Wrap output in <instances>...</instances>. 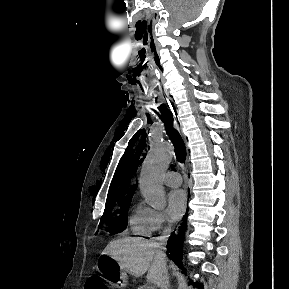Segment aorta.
Masks as SVG:
<instances>
[{"mask_svg": "<svg viewBox=\"0 0 289 289\" xmlns=\"http://www.w3.org/2000/svg\"><path fill=\"white\" fill-rule=\"evenodd\" d=\"M172 156L171 146L166 141L157 139L151 143L142 164L139 187L146 203L154 208H163L166 204L161 176L167 170Z\"/></svg>", "mask_w": 289, "mask_h": 289, "instance_id": "aorta-1", "label": "aorta"}]
</instances>
